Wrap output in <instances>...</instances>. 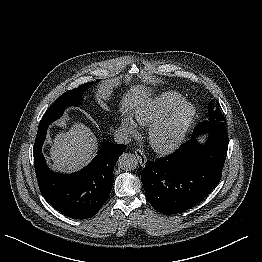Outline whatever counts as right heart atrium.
<instances>
[{
  "mask_svg": "<svg viewBox=\"0 0 262 262\" xmlns=\"http://www.w3.org/2000/svg\"><path fill=\"white\" fill-rule=\"evenodd\" d=\"M121 127L123 131L130 135H137L138 134V128L136 123L129 117H123L121 119Z\"/></svg>",
  "mask_w": 262,
  "mask_h": 262,
  "instance_id": "obj_1",
  "label": "right heart atrium"
}]
</instances>
